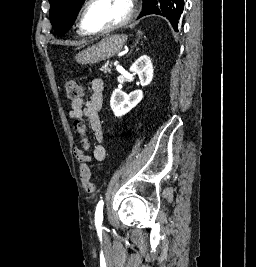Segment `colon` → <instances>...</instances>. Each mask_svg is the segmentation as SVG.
<instances>
[{"label":"colon","mask_w":256,"mask_h":267,"mask_svg":"<svg viewBox=\"0 0 256 267\" xmlns=\"http://www.w3.org/2000/svg\"><path fill=\"white\" fill-rule=\"evenodd\" d=\"M67 97L69 101H75L80 98L81 87L72 79L66 82ZM73 129L76 132H84V125L79 120H74ZM81 177L84 189L89 193H94L96 188L91 180V168L87 164L81 166Z\"/></svg>","instance_id":"colon-1"}]
</instances>
